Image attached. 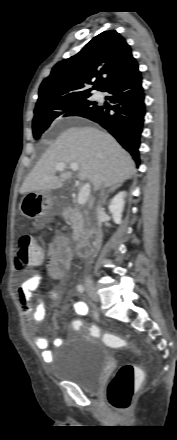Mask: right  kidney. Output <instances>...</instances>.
I'll list each match as a JSON object with an SVG mask.
<instances>
[{
	"instance_id": "right-kidney-1",
	"label": "right kidney",
	"mask_w": 177,
	"mask_h": 440,
	"mask_svg": "<svg viewBox=\"0 0 177 440\" xmlns=\"http://www.w3.org/2000/svg\"><path fill=\"white\" fill-rule=\"evenodd\" d=\"M126 192H119L110 202L109 210L116 224H121L122 212L124 208V197Z\"/></svg>"
}]
</instances>
